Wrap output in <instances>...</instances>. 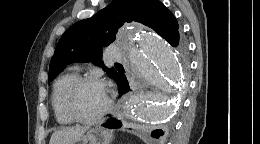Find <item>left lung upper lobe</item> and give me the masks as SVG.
Wrapping results in <instances>:
<instances>
[{
  "instance_id": "obj_1",
  "label": "left lung upper lobe",
  "mask_w": 260,
  "mask_h": 144,
  "mask_svg": "<svg viewBox=\"0 0 260 144\" xmlns=\"http://www.w3.org/2000/svg\"><path fill=\"white\" fill-rule=\"evenodd\" d=\"M140 22L157 32L168 42L179 32L178 22L164 4L155 0H113L91 18L72 25L60 38L50 61L48 81L54 79L62 68L74 62H93L116 82L121 71L107 68L101 60L103 47L115 41L118 28L125 22ZM186 51V44H178Z\"/></svg>"
}]
</instances>
